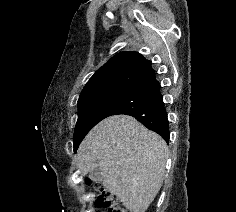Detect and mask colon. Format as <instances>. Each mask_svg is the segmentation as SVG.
Here are the masks:
<instances>
[{"mask_svg": "<svg viewBox=\"0 0 236 212\" xmlns=\"http://www.w3.org/2000/svg\"><path fill=\"white\" fill-rule=\"evenodd\" d=\"M86 183L98 192L95 202L99 207L105 208L107 212H126L110 191L101 188L99 184L92 183L90 180H87Z\"/></svg>", "mask_w": 236, "mask_h": 212, "instance_id": "5ec220e1", "label": "colon"}]
</instances>
